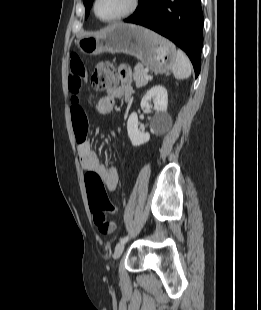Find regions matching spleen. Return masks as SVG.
Masks as SVG:
<instances>
[{
	"label": "spleen",
	"mask_w": 261,
	"mask_h": 310,
	"mask_svg": "<svg viewBox=\"0 0 261 310\" xmlns=\"http://www.w3.org/2000/svg\"><path fill=\"white\" fill-rule=\"evenodd\" d=\"M173 75L178 80L187 79L192 73L191 63L181 50L176 52V60L172 67Z\"/></svg>",
	"instance_id": "3e777b00"
}]
</instances>
